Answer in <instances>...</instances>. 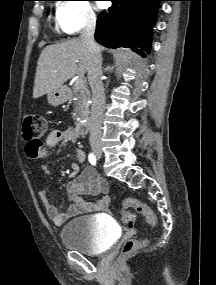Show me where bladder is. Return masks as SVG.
I'll return each instance as SVG.
<instances>
[{"label": "bladder", "instance_id": "obj_1", "mask_svg": "<svg viewBox=\"0 0 216 285\" xmlns=\"http://www.w3.org/2000/svg\"><path fill=\"white\" fill-rule=\"evenodd\" d=\"M117 237V228L99 216H80L67 222L61 229L63 245L87 255L107 251Z\"/></svg>", "mask_w": 216, "mask_h": 285}]
</instances>
